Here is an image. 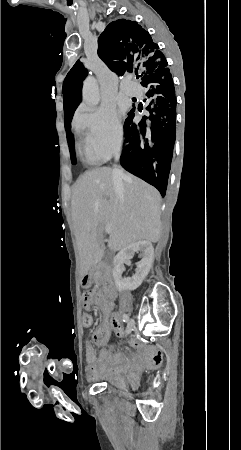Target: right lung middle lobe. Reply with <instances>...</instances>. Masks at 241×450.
I'll use <instances>...</instances> for the list:
<instances>
[{"mask_svg":"<svg viewBox=\"0 0 241 450\" xmlns=\"http://www.w3.org/2000/svg\"><path fill=\"white\" fill-rule=\"evenodd\" d=\"M84 80V77L68 73L64 82H63V89L62 92L64 94L63 96V102H64V116L68 114L69 112H73L79 103L81 102L82 98V82ZM68 142L70 141V136L67 135ZM69 149H70V155H71V162L72 164L76 163L75 158V150L74 147L71 146L69 143Z\"/></svg>","mask_w":241,"mask_h":450,"instance_id":"obj_1","label":"right lung middle lobe"}]
</instances>
